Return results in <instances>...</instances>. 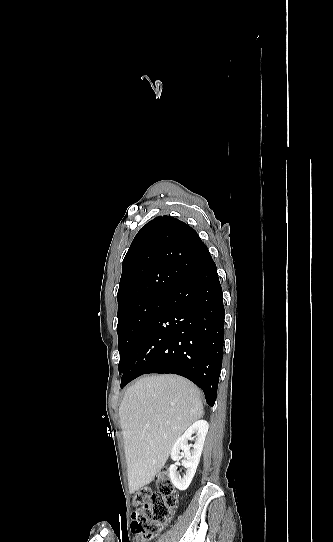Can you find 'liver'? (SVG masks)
Returning <instances> with one entry per match:
<instances>
[{"label": "liver", "mask_w": 333, "mask_h": 542, "mask_svg": "<svg viewBox=\"0 0 333 542\" xmlns=\"http://www.w3.org/2000/svg\"><path fill=\"white\" fill-rule=\"evenodd\" d=\"M203 414L198 388L182 376H143L126 390L119 416L130 494L154 480L177 438Z\"/></svg>", "instance_id": "liver-1"}]
</instances>
